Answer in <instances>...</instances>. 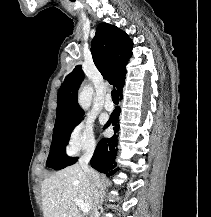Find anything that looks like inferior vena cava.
Here are the masks:
<instances>
[{"label": "inferior vena cava", "instance_id": "602c4592", "mask_svg": "<svg viewBox=\"0 0 211 217\" xmlns=\"http://www.w3.org/2000/svg\"><path fill=\"white\" fill-rule=\"evenodd\" d=\"M93 152H94V148H90L79 159V164L87 175H90V169L88 167V163L90 159L92 158ZM91 187L93 190V208L90 213V217H98V204H99V198L101 196V192L99 193L95 189V186L93 184Z\"/></svg>", "mask_w": 211, "mask_h": 217}]
</instances>
